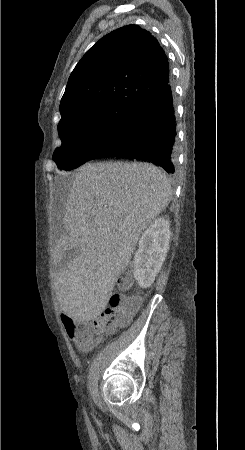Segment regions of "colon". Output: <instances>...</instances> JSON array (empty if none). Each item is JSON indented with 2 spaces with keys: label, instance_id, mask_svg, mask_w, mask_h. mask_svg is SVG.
I'll return each instance as SVG.
<instances>
[{
  "label": "colon",
  "instance_id": "obj_1",
  "mask_svg": "<svg viewBox=\"0 0 245 450\" xmlns=\"http://www.w3.org/2000/svg\"><path fill=\"white\" fill-rule=\"evenodd\" d=\"M132 284V275L127 273L120 276L116 282L118 293L112 295L107 307L90 321H74L69 317L63 319V326L69 336L77 335L80 341H89L92 330L113 332L117 328L126 327L131 318L138 312L139 296L127 297L126 292Z\"/></svg>",
  "mask_w": 245,
  "mask_h": 450
}]
</instances>
